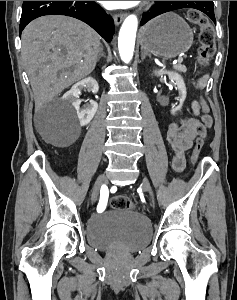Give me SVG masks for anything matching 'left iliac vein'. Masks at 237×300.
<instances>
[{
    "label": "left iliac vein",
    "instance_id": "left-iliac-vein-1",
    "mask_svg": "<svg viewBox=\"0 0 237 300\" xmlns=\"http://www.w3.org/2000/svg\"><path fill=\"white\" fill-rule=\"evenodd\" d=\"M142 188L148 192V194L150 195V199L151 201L153 202V198H152V195H153V191L150 187V183H149V180L148 179H144L143 182H142Z\"/></svg>",
    "mask_w": 237,
    "mask_h": 300
}]
</instances>
